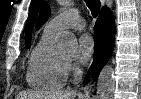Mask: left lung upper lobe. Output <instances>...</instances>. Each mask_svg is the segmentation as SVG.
Returning a JSON list of instances; mask_svg holds the SVG:
<instances>
[{
  "mask_svg": "<svg viewBox=\"0 0 141 99\" xmlns=\"http://www.w3.org/2000/svg\"><path fill=\"white\" fill-rule=\"evenodd\" d=\"M40 3H41V0H32L31 5H30L29 16H28L27 23H26V44L27 46H29V42L31 40V31H32L33 23L37 15V11H38Z\"/></svg>",
  "mask_w": 141,
  "mask_h": 99,
  "instance_id": "left-lung-upper-lobe-1",
  "label": "left lung upper lobe"
}]
</instances>
